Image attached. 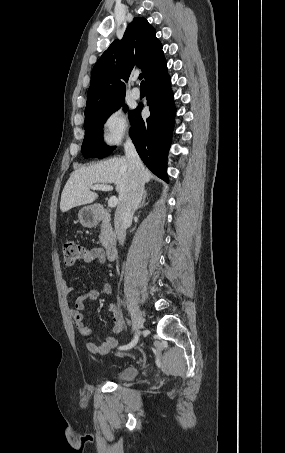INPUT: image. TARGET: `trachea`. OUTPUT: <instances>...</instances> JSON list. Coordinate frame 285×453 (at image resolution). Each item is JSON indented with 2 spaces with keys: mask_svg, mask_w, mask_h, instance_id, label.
Returning a JSON list of instances; mask_svg holds the SVG:
<instances>
[{
  "mask_svg": "<svg viewBox=\"0 0 285 453\" xmlns=\"http://www.w3.org/2000/svg\"><path fill=\"white\" fill-rule=\"evenodd\" d=\"M143 77H144V75H143V74H140V75H139V79H140V80H142V79H143ZM141 86H145V83H144V81H142V82H141Z\"/></svg>",
  "mask_w": 285,
  "mask_h": 453,
  "instance_id": "obj_1",
  "label": "trachea"
}]
</instances>
